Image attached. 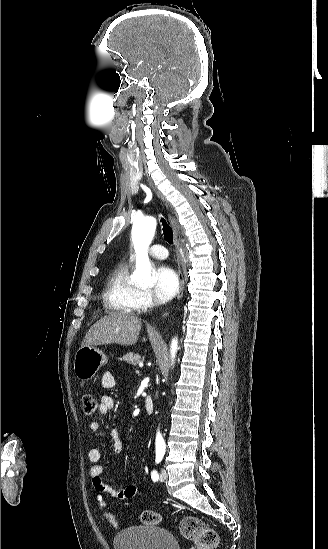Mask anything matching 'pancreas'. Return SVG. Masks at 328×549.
<instances>
[{"mask_svg":"<svg viewBox=\"0 0 328 549\" xmlns=\"http://www.w3.org/2000/svg\"><path fill=\"white\" fill-rule=\"evenodd\" d=\"M123 361L129 363V365H138V363H141V357L138 353H127V355H124Z\"/></svg>","mask_w":328,"mask_h":549,"instance_id":"pancreas-1","label":"pancreas"}]
</instances>
